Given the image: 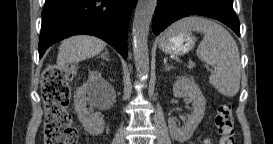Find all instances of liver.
<instances>
[{
  "label": "liver",
  "mask_w": 273,
  "mask_h": 144,
  "mask_svg": "<svg viewBox=\"0 0 273 144\" xmlns=\"http://www.w3.org/2000/svg\"><path fill=\"white\" fill-rule=\"evenodd\" d=\"M106 43L95 36L78 35L62 41L57 56V66L78 63L101 53Z\"/></svg>",
  "instance_id": "1"
}]
</instances>
